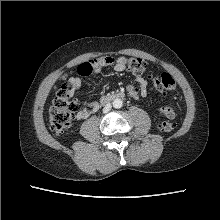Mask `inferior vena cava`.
<instances>
[{"label":"inferior vena cava","mask_w":220,"mask_h":220,"mask_svg":"<svg viewBox=\"0 0 220 220\" xmlns=\"http://www.w3.org/2000/svg\"><path fill=\"white\" fill-rule=\"evenodd\" d=\"M112 108V105L110 103L106 104L103 108V113H108Z\"/></svg>","instance_id":"1"}]
</instances>
